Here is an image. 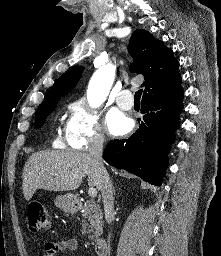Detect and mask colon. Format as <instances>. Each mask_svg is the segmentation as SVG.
Returning <instances> with one entry per match:
<instances>
[{"instance_id":"obj_1","label":"colon","mask_w":221,"mask_h":256,"mask_svg":"<svg viewBox=\"0 0 221 256\" xmlns=\"http://www.w3.org/2000/svg\"><path fill=\"white\" fill-rule=\"evenodd\" d=\"M28 226L32 232L47 231L51 226V218L40 202L33 201L28 205Z\"/></svg>"}]
</instances>
